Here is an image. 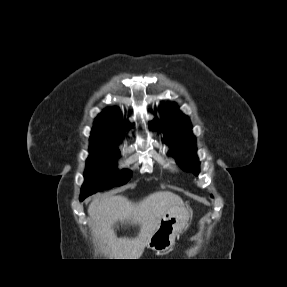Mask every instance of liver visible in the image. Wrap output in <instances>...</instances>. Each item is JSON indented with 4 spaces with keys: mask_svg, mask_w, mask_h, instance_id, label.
Listing matches in <instances>:
<instances>
[{
    "mask_svg": "<svg viewBox=\"0 0 287 287\" xmlns=\"http://www.w3.org/2000/svg\"><path fill=\"white\" fill-rule=\"evenodd\" d=\"M180 196L170 191L154 192L139 202L122 195L97 197L88 206L93 234L106 245L114 259H138L148 245L162 216L170 209L183 206ZM116 223L139 226L136 237L117 238Z\"/></svg>",
    "mask_w": 287,
    "mask_h": 287,
    "instance_id": "6515ba94",
    "label": "liver"
}]
</instances>
